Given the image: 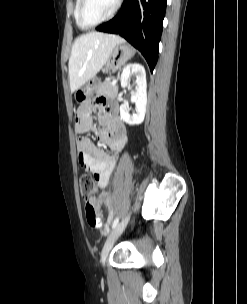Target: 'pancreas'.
<instances>
[{
  "mask_svg": "<svg viewBox=\"0 0 247 304\" xmlns=\"http://www.w3.org/2000/svg\"><path fill=\"white\" fill-rule=\"evenodd\" d=\"M118 93V85L112 84L110 79L105 80L103 83H99L96 88V94L109 98H115Z\"/></svg>",
  "mask_w": 247,
  "mask_h": 304,
  "instance_id": "1",
  "label": "pancreas"
}]
</instances>
